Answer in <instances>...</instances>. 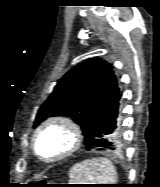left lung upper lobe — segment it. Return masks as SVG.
I'll use <instances>...</instances> for the list:
<instances>
[{
    "label": "left lung upper lobe",
    "instance_id": "left-lung-upper-lobe-1",
    "mask_svg": "<svg viewBox=\"0 0 160 187\" xmlns=\"http://www.w3.org/2000/svg\"><path fill=\"white\" fill-rule=\"evenodd\" d=\"M118 93L117 79L110 64L99 58L87 59L58 81L52 94L40 106L34 127L48 117L64 115L79 124L85 136ZM110 137L121 142L119 128Z\"/></svg>",
    "mask_w": 160,
    "mask_h": 187
}]
</instances>
